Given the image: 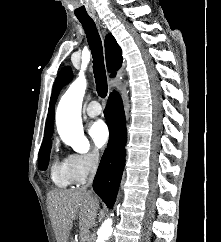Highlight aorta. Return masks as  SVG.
Returning <instances> with one entry per match:
<instances>
[{
	"label": "aorta",
	"instance_id": "aorta-1",
	"mask_svg": "<svg viewBox=\"0 0 221 242\" xmlns=\"http://www.w3.org/2000/svg\"><path fill=\"white\" fill-rule=\"evenodd\" d=\"M87 87L84 76H79L59 102L56 123L62 139L78 152L88 150L89 143L84 136L81 119L82 101ZM112 219L105 220L97 231L95 242H106L112 234Z\"/></svg>",
	"mask_w": 221,
	"mask_h": 242
}]
</instances>
